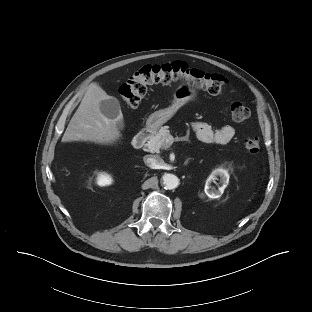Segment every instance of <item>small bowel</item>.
I'll use <instances>...</instances> for the list:
<instances>
[{
  "mask_svg": "<svg viewBox=\"0 0 312 312\" xmlns=\"http://www.w3.org/2000/svg\"><path fill=\"white\" fill-rule=\"evenodd\" d=\"M191 128L200 140L210 144L224 145L235 136V129L231 125H224L217 130H213L204 122H194L191 124Z\"/></svg>",
  "mask_w": 312,
  "mask_h": 312,
  "instance_id": "c3829d8e",
  "label": "small bowel"
}]
</instances>
